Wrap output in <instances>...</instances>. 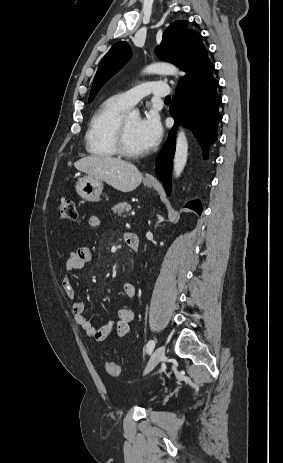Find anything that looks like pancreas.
<instances>
[{"label":"pancreas","instance_id":"cf45deb5","mask_svg":"<svg viewBox=\"0 0 283 463\" xmlns=\"http://www.w3.org/2000/svg\"><path fill=\"white\" fill-rule=\"evenodd\" d=\"M131 209H132L131 205L125 201L118 203L112 208L113 212L118 214L119 216H121V214L124 212L128 213Z\"/></svg>","mask_w":283,"mask_h":463}]
</instances>
